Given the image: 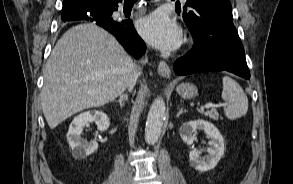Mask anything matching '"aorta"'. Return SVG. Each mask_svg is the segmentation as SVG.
I'll return each mask as SVG.
<instances>
[{
    "label": "aorta",
    "instance_id": "1",
    "mask_svg": "<svg viewBox=\"0 0 293 184\" xmlns=\"http://www.w3.org/2000/svg\"><path fill=\"white\" fill-rule=\"evenodd\" d=\"M165 110V102L162 98H158L152 103L145 127V140L147 143L154 144L158 141L165 119Z\"/></svg>",
    "mask_w": 293,
    "mask_h": 184
}]
</instances>
